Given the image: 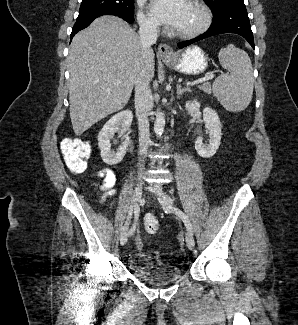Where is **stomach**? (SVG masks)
<instances>
[{"mask_svg":"<svg viewBox=\"0 0 298 325\" xmlns=\"http://www.w3.org/2000/svg\"><path fill=\"white\" fill-rule=\"evenodd\" d=\"M161 60L182 74H202L209 66L208 54L197 44L177 50L173 58H161Z\"/></svg>","mask_w":298,"mask_h":325,"instance_id":"obj_1","label":"stomach"}]
</instances>
